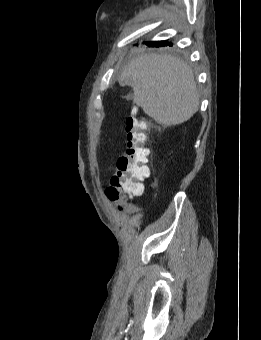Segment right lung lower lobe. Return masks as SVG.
I'll return each instance as SVG.
<instances>
[{"mask_svg":"<svg viewBox=\"0 0 261 340\" xmlns=\"http://www.w3.org/2000/svg\"><path fill=\"white\" fill-rule=\"evenodd\" d=\"M146 44L149 46H155V47L169 45V43H167L166 41H153V42L151 41V42H147Z\"/></svg>","mask_w":261,"mask_h":340,"instance_id":"right-lung-lower-lobe-1","label":"right lung lower lobe"}]
</instances>
